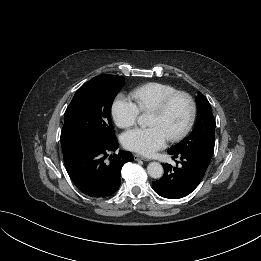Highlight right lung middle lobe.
Instances as JSON below:
<instances>
[{
	"label": "right lung middle lobe",
	"mask_w": 261,
	"mask_h": 261,
	"mask_svg": "<svg viewBox=\"0 0 261 261\" xmlns=\"http://www.w3.org/2000/svg\"><path fill=\"white\" fill-rule=\"evenodd\" d=\"M124 77L99 75L82 85L65 111L61 131L62 151L84 142L113 139L111 106Z\"/></svg>",
	"instance_id": "1"
}]
</instances>
